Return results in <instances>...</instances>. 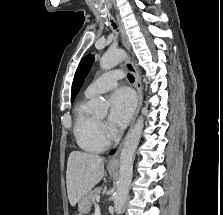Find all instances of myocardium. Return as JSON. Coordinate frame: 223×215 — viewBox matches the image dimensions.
I'll list each match as a JSON object with an SVG mask.
<instances>
[{
	"mask_svg": "<svg viewBox=\"0 0 223 215\" xmlns=\"http://www.w3.org/2000/svg\"><path fill=\"white\" fill-rule=\"evenodd\" d=\"M98 128L100 131L101 139L108 145L114 144L118 141V136L114 133H109L107 126L100 120L97 119Z\"/></svg>",
	"mask_w": 223,
	"mask_h": 215,
	"instance_id": "1",
	"label": "myocardium"
}]
</instances>
